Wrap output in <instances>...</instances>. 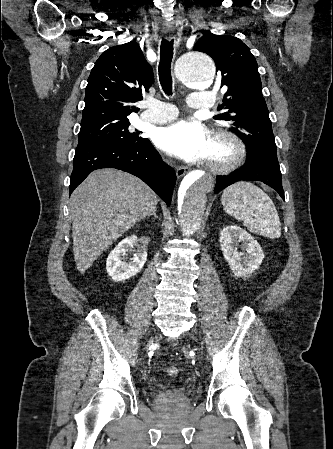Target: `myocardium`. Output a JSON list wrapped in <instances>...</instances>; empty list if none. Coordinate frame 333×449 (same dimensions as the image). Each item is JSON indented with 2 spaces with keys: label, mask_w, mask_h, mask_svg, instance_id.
<instances>
[{
  "label": "myocardium",
  "mask_w": 333,
  "mask_h": 449,
  "mask_svg": "<svg viewBox=\"0 0 333 449\" xmlns=\"http://www.w3.org/2000/svg\"><path fill=\"white\" fill-rule=\"evenodd\" d=\"M211 141L224 148L226 157L221 160L207 159L206 167L219 174L229 173L239 167L246 158L247 149L245 143L237 135L219 130L213 133Z\"/></svg>",
  "instance_id": "obj_1"
}]
</instances>
